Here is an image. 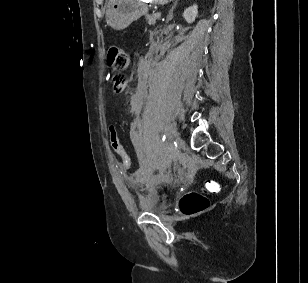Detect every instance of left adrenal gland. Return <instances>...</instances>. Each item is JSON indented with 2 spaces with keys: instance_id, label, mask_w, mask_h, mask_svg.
Masks as SVG:
<instances>
[{
  "instance_id": "1",
  "label": "left adrenal gland",
  "mask_w": 308,
  "mask_h": 283,
  "mask_svg": "<svg viewBox=\"0 0 308 283\" xmlns=\"http://www.w3.org/2000/svg\"><path fill=\"white\" fill-rule=\"evenodd\" d=\"M177 3H178V0H175V3L172 6V8L170 9L169 14L167 16V22H169V21H171L173 19V10L175 9Z\"/></svg>"
}]
</instances>
